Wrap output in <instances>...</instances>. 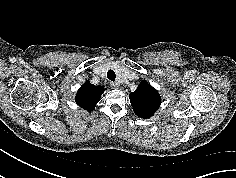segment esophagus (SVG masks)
<instances>
[{
	"label": "esophagus",
	"mask_w": 236,
	"mask_h": 178,
	"mask_svg": "<svg viewBox=\"0 0 236 178\" xmlns=\"http://www.w3.org/2000/svg\"><path fill=\"white\" fill-rule=\"evenodd\" d=\"M110 86H111L113 89H118V88H119L118 83H115V82H111V83H110Z\"/></svg>",
	"instance_id": "obj_1"
}]
</instances>
